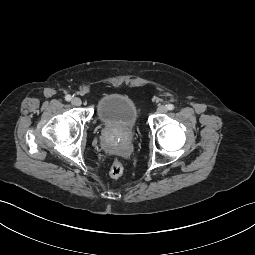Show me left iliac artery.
Returning <instances> with one entry per match:
<instances>
[{
	"mask_svg": "<svg viewBox=\"0 0 255 255\" xmlns=\"http://www.w3.org/2000/svg\"><path fill=\"white\" fill-rule=\"evenodd\" d=\"M167 109L168 110H173L174 109V105L173 104H168L167 105Z\"/></svg>",
	"mask_w": 255,
	"mask_h": 255,
	"instance_id": "obj_1",
	"label": "left iliac artery"
}]
</instances>
